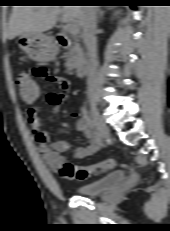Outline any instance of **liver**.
<instances>
[{
	"label": "liver",
	"mask_w": 170,
	"mask_h": 231,
	"mask_svg": "<svg viewBox=\"0 0 170 231\" xmlns=\"http://www.w3.org/2000/svg\"><path fill=\"white\" fill-rule=\"evenodd\" d=\"M82 6H14L9 20L7 38L27 33H42L52 29L59 15L64 22L81 23Z\"/></svg>",
	"instance_id": "liver-1"
}]
</instances>
